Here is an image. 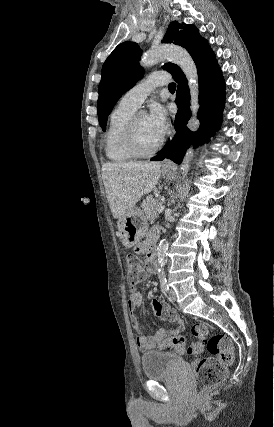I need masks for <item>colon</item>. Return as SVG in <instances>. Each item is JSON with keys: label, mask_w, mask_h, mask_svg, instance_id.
I'll return each instance as SVG.
<instances>
[{"label": "colon", "mask_w": 274, "mask_h": 427, "mask_svg": "<svg viewBox=\"0 0 274 427\" xmlns=\"http://www.w3.org/2000/svg\"><path fill=\"white\" fill-rule=\"evenodd\" d=\"M126 262L128 280L132 286H136L143 276L142 262L135 254H128ZM191 332L198 344L205 345L210 355L198 361L196 385L192 390L194 395H205L207 388L224 381L228 365L234 358V348L232 342L222 334L209 336V328L205 323L193 324ZM157 347L159 350H173L183 355H192L197 351V344L188 345L183 338L177 337L161 339Z\"/></svg>", "instance_id": "1"}]
</instances>
